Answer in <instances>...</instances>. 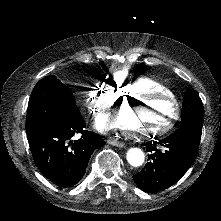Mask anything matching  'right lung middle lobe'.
<instances>
[{"instance_id":"dd1d6c3e","label":"right lung middle lobe","mask_w":221,"mask_h":221,"mask_svg":"<svg viewBox=\"0 0 221 221\" xmlns=\"http://www.w3.org/2000/svg\"><path fill=\"white\" fill-rule=\"evenodd\" d=\"M78 117L81 113L70 89L50 75L41 79L31 93L26 131L46 124L70 122Z\"/></svg>"}]
</instances>
